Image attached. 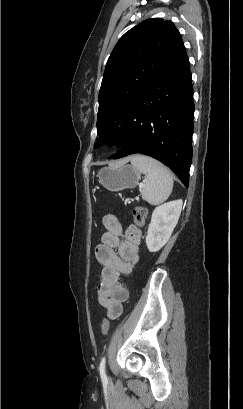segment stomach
<instances>
[{
  "label": "stomach",
  "instance_id": "obj_1",
  "mask_svg": "<svg viewBox=\"0 0 243 409\" xmlns=\"http://www.w3.org/2000/svg\"><path fill=\"white\" fill-rule=\"evenodd\" d=\"M98 182L110 191L132 189L140 180V171L133 165L120 162L101 168L98 173Z\"/></svg>",
  "mask_w": 243,
  "mask_h": 409
}]
</instances>
